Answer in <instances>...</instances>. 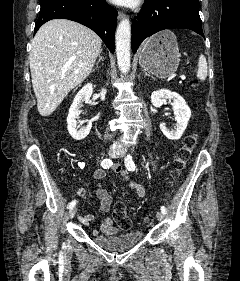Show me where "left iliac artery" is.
Wrapping results in <instances>:
<instances>
[{"label": "left iliac artery", "mask_w": 240, "mask_h": 281, "mask_svg": "<svg viewBox=\"0 0 240 281\" xmlns=\"http://www.w3.org/2000/svg\"><path fill=\"white\" fill-rule=\"evenodd\" d=\"M124 163H125L126 168H127L129 171H135L136 166H135V163H134V161H133L131 155H129V154L127 155V157H126L125 160H124ZM161 212H162L163 214H166V213H167V209H166L164 206H162V207H161Z\"/></svg>", "instance_id": "44dca946"}]
</instances>
